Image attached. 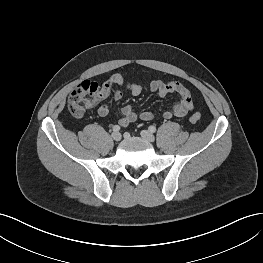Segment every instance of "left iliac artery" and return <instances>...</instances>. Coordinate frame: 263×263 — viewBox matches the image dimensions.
<instances>
[{
    "label": "left iliac artery",
    "mask_w": 263,
    "mask_h": 263,
    "mask_svg": "<svg viewBox=\"0 0 263 263\" xmlns=\"http://www.w3.org/2000/svg\"><path fill=\"white\" fill-rule=\"evenodd\" d=\"M149 131L154 133L156 131V127L154 125L149 126Z\"/></svg>",
    "instance_id": "44dca946"
}]
</instances>
